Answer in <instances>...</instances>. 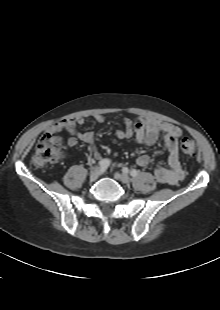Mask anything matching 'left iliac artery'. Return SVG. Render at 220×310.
<instances>
[{
	"mask_svg": "<svg viewBox=\"0 0 220 310\" xmlns=\"http://www.w3.org/2000/svg\"><path fill=\"white\" fill-rule=\"evenodd\" d=\"M130 175L135 177L138 175V171L136 169L131 170Z\"/></svg>",
	"mask_w": 220,
	"mask_h": 310,
	"instance_id": "1",
	"label": "left iliac artery"
}]
</instances>
